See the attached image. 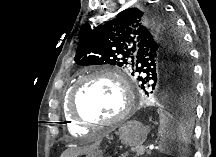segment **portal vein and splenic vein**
I'll use <instances>...</instances> for the list:
<instances>
[{
    "label": "portal vein and splenic vein",
    "instance_id": "portal-vein-and-splenic-vein-1",
    "mask_svg": "<svg viewBox=\"0 0 216 157\" xmlns=\"http://www.w3.org/2000/svg\"><path fill=\"white\" fill-rule=\"evenodd\" d=\"M146 148H147V152H150L154 147L153 145H150V146H147Z\"/></svg>",
    "mask_w": 216,
    "mask_h": 157
}]
</instances>
